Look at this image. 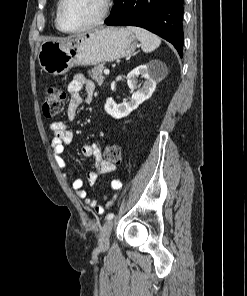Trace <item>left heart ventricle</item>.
Listing matches in <instances>:
<instances>
[{"label":"left heart ventricle","mask_w":247,"mask_h":296,"mask_svg":"<svg viewBox=\"0 0 247 296\" xmlns=\"http://www.w3.org/2000/svg\"><path fill=\"white\" fill-rule=\"evenodd\" d=\"M100 10V0H66L61 10V24L65 29L82 28L93 22Z\"/></svg>","instance_id":"left-heart-ventricle-1"}]
</instances>
